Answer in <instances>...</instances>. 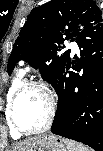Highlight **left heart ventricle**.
Listing matches in <instances>:
<instances>
[{
    "mask_svg": "<svg viewBox=\"0 0 103 151\" xmlns=\"http://www.w3.org/2000/svg\"><path fill=\"white\" fill-rule=\"evenodd\" d=\"M47 111V101L44 94L37 89H30L18 99L15 116L23 128L37 129L45 123Z\"/></svg>",
    "mask_w": 103,
    "mask_h": 151,
    "instance_id": "obj_1",
    "label": "left heart ventricle"
}]
</instances>
